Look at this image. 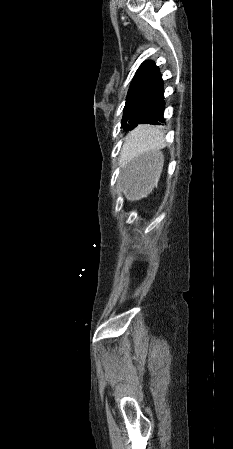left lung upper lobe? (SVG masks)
<instances>
[{
    "label": "left lung upper lobe",
    "instance_id": "left-lung-upper-lobe-1",
    "mask_svg": "<svg viewBox=\"0 0 233 449\" xmlns=\"http://www.w3.org/2000/svg\"><path fill=\"white\" fill-rule=\"evenodd\" d=\"M163 90L159 68L153 61L143 62L130 84L121 127L132 130L141 124L144 115Z\"/></svg>",
    "mask_w": 233,
    "mask_h": 449
}]
</instances>
